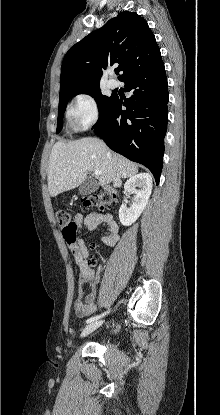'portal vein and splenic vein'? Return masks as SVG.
Returning a JSON list of instances; mask_svg holds the SVG:
<instances>
[{
  "label": "portal vein and splenic vein",
  "mask_w": 220,
  "mask_h": 415,
  "mask_svg": "<svg viewBox=\"0 0 220 415\" xmlns=\"http://www.w3.org/2000/svg\"><path fill=\"white\" fill-rule=\"evenodd\" d=\"M94 174H95L96 176H100V175H101V171H100V170H95V171H94Z\"/></svg>",
  "instance_id": "portal-vein-and-splenic-vein-1"
}]
</instances>
